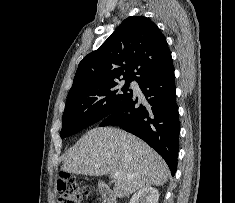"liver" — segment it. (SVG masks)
Segmentation results:
<instances>
[{
	"instance_id": "liver-1",
	"label": "liver",
	"mask_w": 235,
	"mask_h": 203,
	"mask_svg": "<svg viewBox=\"0 0 235 203\" xmlns=\"http://www.w3.org/2000/svg\"><path fill=\"white\" fill-rule=\"evenodd\" d=\"M62 171L90 176L119 172L114 193L129 196L148 186L168 181L169 168L162 157L138 137L123 130L94 128L84 134L65 156Z\"/></svg>"
}]
</instances>
